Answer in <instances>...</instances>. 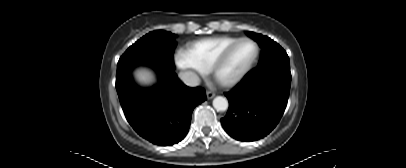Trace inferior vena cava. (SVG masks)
<instances>
[{"label": "inferior vena cava", "instance_id": "inferior-vena-cava-1", "mask_svg": "<svg viewBox=\"0 0 406 168\" xmlns=\"http://www.w3.org/2000/svg\"><path fill=\"white\" fill-rule=\"evenodd\" d=\"M179 77L184 84L191 87L197 86L200 82L199 77L194 72L191 71L181 72L179 74Z\"/></svg>", "mask_w": 406, "mask_h": 168}]
</instances>
